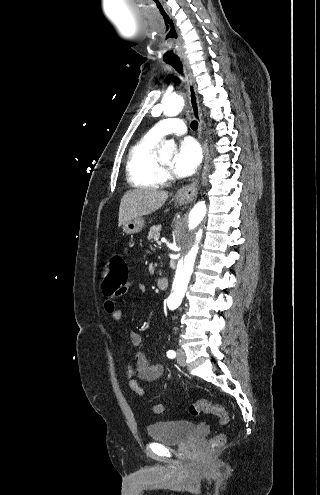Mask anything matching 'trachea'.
I'll use <instances>...</instances> for the list:
<instances>
[{
    "mask_svg": "<svg viewBox=\"0 0 320 495\" xmlns=\"http://www.w3.org/2000/svg\"><path fill=\"white\" fill-rule=\"evenodd\" d=\"M168 63L171 64L179 74H182L183 73L182 64H181V62L179 60H173V61H170ZM191 128L193 130H197V128H198V122L197 121H192L191 122Z\"/></svg>",
    "mask_w": 320,
    "mask_h": 495,
    "instance_id": "obj_1",
    "label": "trachea"
}]
</instances>
